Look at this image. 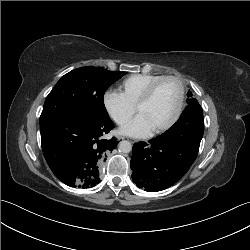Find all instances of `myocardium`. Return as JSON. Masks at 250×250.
Listing matches in <instances>:
<instances>
[{"label": "myocardium", "mask_w": 250, "mask_h": 250, "mask_svg": "<svg viewBox=\"0 0 250 250\" xmlns=\"http://www.w3.org/2000/svg\"><path fill=\"white\" fill-rule=\"evenodd\" d=\"M167 80H173V81L177 82L179 85V88H180L176 110H175L173 116L171 117V119L163 126L153 130L151 132V135H159V134H162V133L168 131L179 119L181 112H182L184 98H185V86H184L183 81L179 77H176V76H172V75L163 76L162 78L153 82L145 90V92L141 95V97L138 99L137 103L135 104V109H136V111H138V109L143 104L147 103L151 99V97L153 96V94H154L155 90L158 88V86Z\"/></svg>", "instance_id": "f54148a6"}]
</instances>
